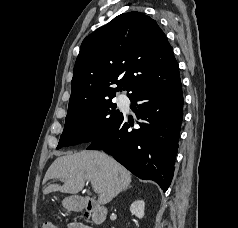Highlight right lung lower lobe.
<instances>
[{
  "label": "right lung lower lobe",
  "mask_w": 238,
  "mask_h": 228,
  "mask_svg": "<svg viewBox=\"0 0 238 228\" xmlns=\"http://www.w3.org/2000/svg\"><path fill=\"white\" fill-rule=\"evenodd\" d=\"M139 129L126 117L91 141L87 149H101L141 179L157 182L165 192L174 173L180 125L183 118V95L180 77L163 85L138 92L130 97ZM133 108V107H132Z\"/></svg>",
  "instance_id": "right-lung-lower-lobe-1"
}]
</instances>
